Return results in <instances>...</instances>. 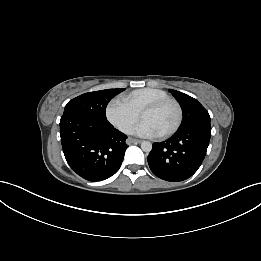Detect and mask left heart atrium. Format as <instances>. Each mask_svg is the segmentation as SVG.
Instances as JSON below:
<instances>
[{
  "label": "left heart atrium",
  "instance_id": "39dd6f15",
  "mask_svg": "<svg viewBox=\"0 0 261 261\" xmlns=\"http://www.w3.org/2000/svg\"><path fill=\"white\" fill-rule=\"evenodd\" d=\"M133 133L141 137H157L160 131L149 121L142 120L134 129Z\"/></svg>",
  "mask_w": 261,
  "mask_h": 261
}]
</instances>
